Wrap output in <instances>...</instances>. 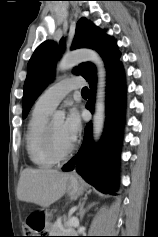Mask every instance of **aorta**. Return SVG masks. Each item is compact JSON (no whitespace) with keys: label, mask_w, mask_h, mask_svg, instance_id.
I'll list each match as a JSON object with an SVG mask.
<instances>
[{"label":"aorta","mask_w":158,"mask_h":237,"mask_svg":"<svg viewBox=\"0 0 158 237\" xmlns=\"http://www.w3.org/2000/svg\"><path fill=\"white\" fill-rule=\"evenodd\" d=\"M86 61L92 62L97 68L98 82L93 116V139L97 142L102 135L105 123L106 69L102 58L97 52L90 49L76 50L65 54L58 62L56 69L58 72H62ZM64 118V112L57 111L54 114L56 120Z\"/></svg>","instance_id":"obj_1"}]
</instances>
